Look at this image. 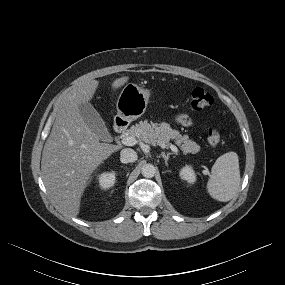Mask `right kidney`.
Wrapping results in <instances>:
<instances>
[{
	"label": "right kidney",
	"mask_w": 285,
	"mask_h": 285,
	"mask_svg": "<svg viewBox=\"0 0 285 285\" xmlns=\"http://www.w3.org/2000/svg\"><path fill=\"white\" fill-rule=\"evenodd\" d=\"M116 181V173L112 172H105L98 176V183L102 189H109L115 184Z\"/></svg>",
	"instance_id": "obj_1"
}]
</instances>
